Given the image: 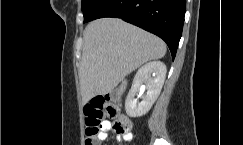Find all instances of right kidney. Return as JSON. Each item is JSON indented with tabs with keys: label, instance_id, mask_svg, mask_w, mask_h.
Masks as SVG:
<instances>
[{
	"label": "right kidney",
	"instance_id": "ca27d5eb",
	"mask_svg": "<svg viewBox=\"0 0 243 145\" xmlns=\"http://www.w3.org/2000/svg\"><path fill=\"white\" fill-rule=\"evenodd\" d=\"M166 66L161 61H152L143 65L136 73L131 90L125 101V110L130 117L145 115L157 100L166 77ZM146 93L138 102L135 95Z\"/></svg>",
	"mask_w": 243,
	"mask_h": 145
}]
</instances>
